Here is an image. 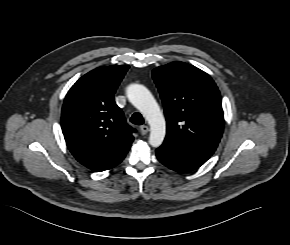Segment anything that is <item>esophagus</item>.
<instances>
[{
    "label": "esophagus",
    "mask_w": 290,
    "mask_h": 245,
    "mask_svg": "<svg viewBox=\"0 0 290 245\" xmlns=\"http://www.w3.org/2000/svg\"><path fill=\"white\" fill-rule=\"evenodd\" d=\"M149 132V127L147 126V125H142L141 127H140V133L142 134V135H145V134H147Z\"/></svg>",
    "instance_id": "1"
}]
</instances>
